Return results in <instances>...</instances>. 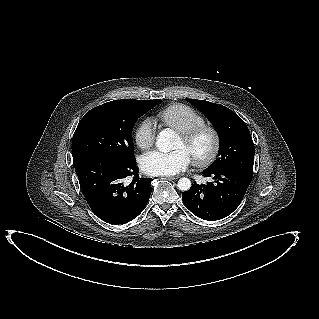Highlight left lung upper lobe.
<instances>
[{"label":"left lung upper lobe","mask_w":319,"mask_h":319,"mask_svg":"<svg viewBox=\"0 0 319 319\" xmlns=\"http://www.w3.org/2000/svg\"><path fill=\"white\" fill-rule=\"evenodd\" d=\"M186 100L208 118L219 135L218 158L207 169L235 168L253 175L255 148L245 122L223 105L204 100Z\"/></svg>","instance_id":"5c2ea615"}]
</instances>
